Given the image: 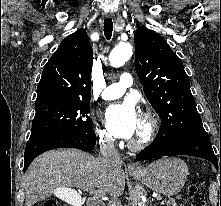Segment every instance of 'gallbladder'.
<instances>
[{
	"mask_svg": "<svg viewBox=\"0 0 221 206\" xmlns=\"http://www.w3.org/2000/svg\"><path fill=\"white\" fill-rule=\"evenodd\" d=\"M57 198H61L62 202H66V205L70 206H83L84 197H81V193H74V189H67L66 185L62 186V189H55Z\"/></svg>",
	"mask_w": 221,
	"mask_h": 206,
	"instance_id": "obj_1",
	"label": "gallbladder"
}]
</instances>
